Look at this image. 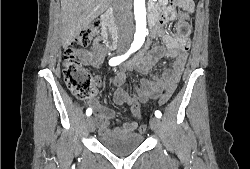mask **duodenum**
<instances>
[{
  "label": "duodenum",
  "instance_id": "1",
  "mask_svg": "<svg viewBox=\"0 0 250 169\" xmlns=\"http://www.w3.org/2000/svg\"><path fill=\"white\" fill-rule=\"evenodd\" d=\"M102 26L105 43L112 49L117 48L120 45V40L114 26L111 10L104 12L102 16Z\"/></svg>",
  "mask_w": 250,
  "mask_h": 169
}]
</instances>
